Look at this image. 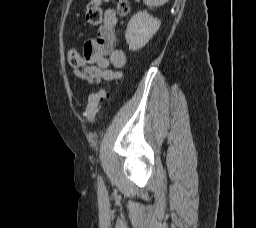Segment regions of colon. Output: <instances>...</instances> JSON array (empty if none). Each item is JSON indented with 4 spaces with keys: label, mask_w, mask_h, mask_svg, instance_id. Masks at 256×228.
<instances>
[{
    "label": "colon",
    "mask_w": 256,
    "mask_h": 228,
    "mask_svg": "<svg viewBox=\"0 0 256 228\" xmlns=\"http://www.w3.org/2000/svg\"><path fill=\"white\" fill-rule=\"evenodd\" d=\"M109 0H90L86 6V20L91 25L97 26L102 21V3ZM128 0H117V12L120 16H126L129 13ZM69 64L74 68H84L87 65V60L76 50L70 49L68 52ZM108 93L105 89H100L98 92L89 96L86 107V118L89 123H93L99 112L100 102L106 99Z\"/></svg>",
    "instance_id": "5ec220e1"
}]
</instances>
